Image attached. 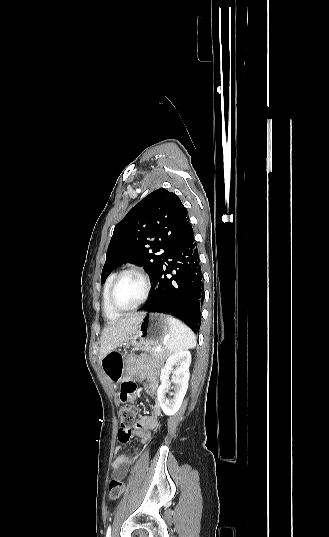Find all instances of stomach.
Returning a JSON list of instances; mask_svg holds the SVG:
<instances>
[{
	"label": "stomach",
	"instance_id": "0dacf381",
	"mask_svg": "<svg viewBox=\"0 0 329 537\" xmlns=\"http://www.w3.org/2000/svg\"><path fill=\"white\" fill-rule=\"evenodd\" d=\"M169 335V316L161 313H144L128 342L137 347L161 345ZM100 365L112 383H118L122 379V355L120 352L116 350L109 352L100 361Z\"/></svg>",
	"mask_w": 329,
	"mask_h": 537
}]
</instances>
